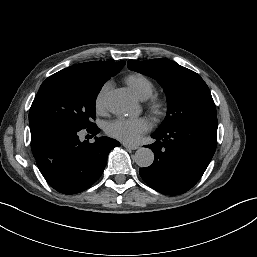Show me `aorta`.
<instances>
[{"label": "aorta", "instance_id": "1", "mask_svg": "<svg viewBox=\"0 0 257 257\" xmlns=\"http://www.w3.org/2000/svg\"><path fill=\"white\" fill-rule=\"evenodd\" d=\"M106 108L117 115H133L137 112L131 93L125 88H115L109 90L104 96ZM136 164L140 167H149L154 161V153L149 148L141 147L134 155Z\"/></svg>", "mask_w": 257, "mask_h": 257}]
</instances>
